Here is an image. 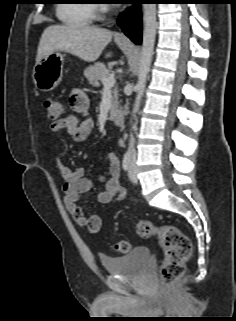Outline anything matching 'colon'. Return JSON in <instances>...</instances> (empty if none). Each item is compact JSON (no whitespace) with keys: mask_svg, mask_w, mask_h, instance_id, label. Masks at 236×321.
I'll return each instance as SVG.
<instances>
[{"mask_svg":"<svg viewBox=\"0 0 236 321\" xmlns=\"http://www.w3.org/2000/svg\"><path fill=\"white\" fill-rule=\"evenodd\" d=\"M47 116L57 119L61 112V103L53 98L44 101ZM136 232L143 239L155 238L164 248V257L160 266L162 284L170 286L184 272L185 263L191 255L192 245L189 238L174 226H156L151 221L136 219ZM119 253L126 254L131 250L128 240H120L114 246Z\"/></svg>","mask_w":236,"mask_h":321,"instance_id":"colon-1","label":"colon"}]
</instances>
